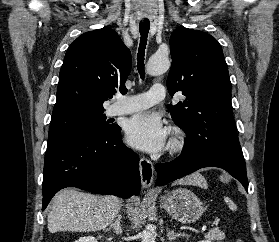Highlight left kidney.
Masks as SVG:
<instances>
[{
  "label": "left kidney",
  "instance_id": "1",
  "mask_svg": "<svg viewBox=\"0 0 279 242\" xmlns=\"http://www.w3.org/2000/svg\"><path fill=\"white\" fill-rule=\"evenodd\" d=\"M199 242H210V241H208V240H203V241H199Z\"/></svg>",
  "mask_w": 279,
  "mask_h": 242
}]
</instances>
